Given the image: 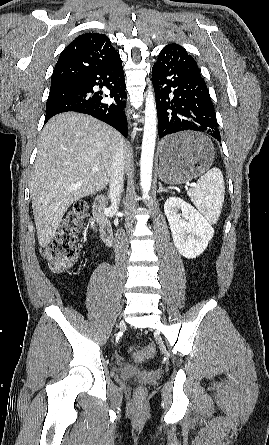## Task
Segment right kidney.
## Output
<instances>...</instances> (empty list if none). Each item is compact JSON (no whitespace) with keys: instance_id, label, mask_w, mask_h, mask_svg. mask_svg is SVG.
<instances>
[{"instance_id":"1","label":"right kidney","mask_w":269,"mask_h":445,"mask_svg":"<svg viewBox=\"0 0 269 445\" xmlns=\"http://www.w3.org/2000/svg\"><path fill=\"white\" fill-rule=\"evenodd\" d=\"M91 226L94 228V221H91Z\"/></svg>"}]
</instances>
